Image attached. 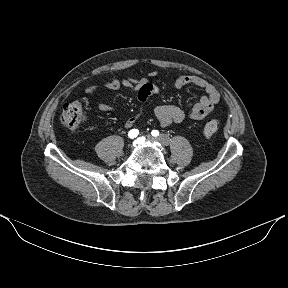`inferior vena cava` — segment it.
I'll return each instance as SVG.
<instances>
[{
    "mask_svg": "<svg viewBox=\"0 0 288 288\" xmlns=\"http://www.w3.org/2000/svg\"><path fill=\"white\" fill-rule=\"evenodd\" d=\"M158 140H159V142H161L162 146H164V147H167L170 144L169 139H167V136L164 133L159 134Z\"/></svg>",
    "mask_w": 288,
    "mask_h": 288,
    "instance_id": "602c4592",
    "label": "inferior vena cava"
}]
</instances>
